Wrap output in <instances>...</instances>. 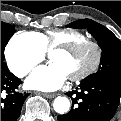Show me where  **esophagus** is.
<instances>
[{"label":"esophagus","mask_w":121,"mask_h":121,"mask_svg":"<svg viewBox=\"0 0 121 121\" xmlns=\"http://www.w3.org/2000/svg\"><path fill=\"white\" fill-rule=\"evenodd\" d=\"M44 97L46 98H54L55 96H57L56 93H45L43 94Z\"/></svg>","instance_id":"1"}]
</instances>
